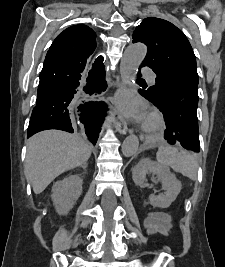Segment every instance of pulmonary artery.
Listing matches in <instances>:
<instances>
[{"label": "pulmonary artery", "mask_w": 225, "mask_h": 267, "mask_svg": "<svg viewBox=\"0 0 225 267\" xmlns=\"http://www.w3.org/2000/svg\"><path fill=\"white\" fill-rule=\"evenodd\" d=\"M142 72H143V74H144L145 76H147V77L150 79V81H151L152 83H155L156 74L154 73V71H153L152 69L146 67V68H144V69L142 70Z\"/></svg>", "instance_id": "obj_1"}]
</instances>
